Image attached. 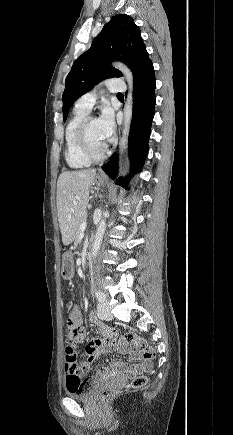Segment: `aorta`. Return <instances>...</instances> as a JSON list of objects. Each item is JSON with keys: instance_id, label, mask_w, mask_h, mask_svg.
<instances>
[{"instance_id": "1", "label": "aorta", "mask_w": 233, "mask_h": 435, "mask_svg": "<svg viewBox=\"0 0 233 435\" xmlns=\"http://www.w3.org/2000/svg\"><path fill=\"white\" fill-rule=\"evenodd\" d=\"M113 66L116 67L117 69H119L123 73L124 77L126 78V80L128 82V86H129V93H128L127 99L125 101L124 109H123L124 125H123V130H122V138L120 141V152L122 153L127 147L130 124H131V120H132L133 76H132L131 70L126 65L119 63V62H116L113 64ZM107 215H108L107 211L103 213V217L97 226L96 234H95V238H94V242H93V247L91 250L92 258H95L97 256V253L100 249L101 242H102V239H103V236L105 233V229H106V217H107Z\"/></svg>"}]
</instances>
